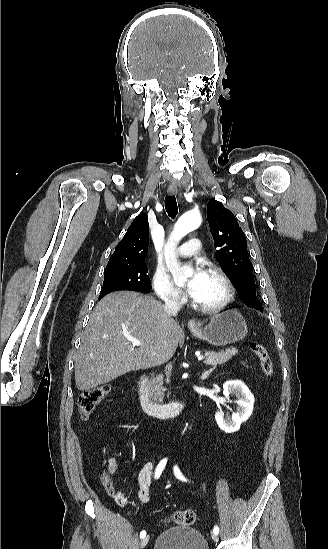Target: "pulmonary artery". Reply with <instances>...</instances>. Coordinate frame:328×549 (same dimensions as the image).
Instances as JSON below:
<instances>
[{"instance_id": "1", "label": "pulmonary artery", "mask_w": 328, "mask_h": 549, "mask_svg": "<svg viewBox=\"0 0 328 549\" xmlns=\"http://www.w3.org/2000/svg\"><path fill=\"white\" fill-rule=\"evenodd\" d=\"M204 245L197 237H190L186 246H179L176 250L177 255L182 258L193 257L195 252H201Z\"/></svg>"}]
</instances>
